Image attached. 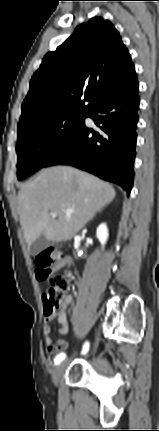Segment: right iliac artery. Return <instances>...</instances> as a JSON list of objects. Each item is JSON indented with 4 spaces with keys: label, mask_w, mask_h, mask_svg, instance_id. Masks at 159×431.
I'll return each instance as SVG.
<instances>
[{
    "label": "right iliac artery",
    "mask_w": 159,
    "mask_h": 431,
    "mask_svg": "<svg viewBox=\"0 0 159 431\" xmlns=\"http://www.w3.org/2000/svg\"><path fill=\"white\" fill-rule=\"evenodd\" d=\"M88 349H89V343H88V342H86V343L84 344V347H83V350H82V354L87 353ZM65 357H66V354H65V353H63V352H62V353H60V354H58V355L56 356L55 360H54L55 364H59L61 361H63V360L65 359Z\"/></svg>",
    "instance_id": "1"
}]
</instances>
